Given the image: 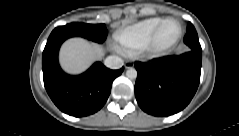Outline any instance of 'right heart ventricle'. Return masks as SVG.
Masks as SVG:
<instances>
[{
	"label": "right heart ventricle",
	"mask_w": 239,
	"mask_h": 136,
	"mask_svg": "<svg viewBox=\"0 0 239 136\" xmlns=\"http://www.w3.org/2000/svg\"><path fill=\"white\" fill-rule=\"evenodd\" d=\"M162 22L163 20H148L121 32L117 35L119 47L124 50L145 43Z\"/></svg>",
	"instance_id": "obj_1"
}]
</instances>
